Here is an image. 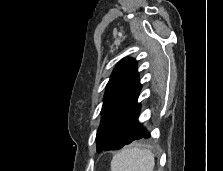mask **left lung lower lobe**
<instances>
[{
  "mask_svg": "<svg viewBox=\"0 0 223 171\" xmlns=\"http://www.w3.org/2000/svg\"><path fill=\"white\" fill-rule=\"evenodd\" d=\"M139 113L140 105L136 102L98 152L120 149L133 141L149 138L150 133L138 121Z\"/></svg>",
  "mask_w": 223,
  "mask_h": 171,
  "instance_id": "0a47b994",
  "label": "left lung lower lobe"
}]
</instances>
